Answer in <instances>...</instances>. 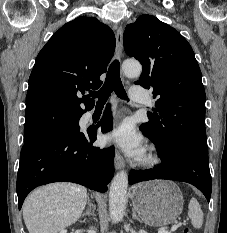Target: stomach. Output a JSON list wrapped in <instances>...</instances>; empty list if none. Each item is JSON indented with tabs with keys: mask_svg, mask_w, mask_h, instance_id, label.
<instances>
[{
	"mask_svg": "<svg viewBox=\"0 0 227 233\" xmlns=\"http://www.w3.org/2000/svg\"><path fill=\"white\" fill-rule=\"evenodd\" d=\"M131 200L140 219L150 226L174 222L183 210V195L170 181H150L136 185Z\"/></svg>",
	"mask_w": 227,
	"mask_h": 233,
	"instance_id": "0dacf381",
	"label": "stomach"
}]
</instances>
